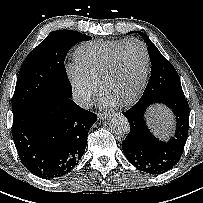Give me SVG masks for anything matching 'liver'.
<instances>
[{
    "mask_svg": "<svg viewBox=\"0 0 203 203\" xmlns=\"http://www.w3.org/2000/svg\"><path fill=\"white\" fill-rule=\"evenodd\" d=\"M153 123L157 133L164 134L168 128V119L164 114L158 115Z\"/></svg>",
    "mask_w": 203,
    "mask_h": 203,
    "instance_id": "obj_1",
    "label": "liver"
}]
</instances>
